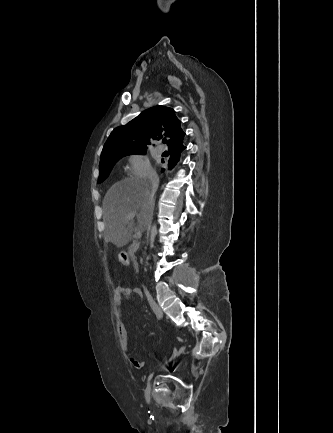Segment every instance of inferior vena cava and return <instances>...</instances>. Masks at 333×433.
Here are the masks:
<instances>
[{
	"instance_id": "602c4592",
	"label": "inferior vena cava",
	"mask_w": 333,
	"mask_h": 433,
	"mask_svg": "<svg viewBox=\"0 0 333 433\" xmlns=\"http://www.w3.org/2000/svg\"><path fill=\"white\" fill-rule=\"evenodd\" d=\"M148 180L151 184V198L154 199L155 193H156L158 186H159V178H158L157 173L155 171L149 172L148 173ZM152 309H153V312L155 313L157 319L163 318V313L157 305L152 306Z\"/></svg>"
}]
</instances>
